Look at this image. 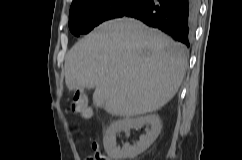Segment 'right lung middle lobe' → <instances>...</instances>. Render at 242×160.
<instances>
[{"label":"right lung middle lobe","mask_w":242,"mask_h":160,"mask_svg":"<svg viewBox=\"0 0 242 160\" xmlns=\"http://www.w3.org/2000/svg\"><path fill=\"white\" fill-rule=\"evenodd\" d=\"M144 0H83L72 5L69 28L75 36L90 32L105 20L122 17Z\"/></svg>","instance_id":"obj_1"}]
</instances>
